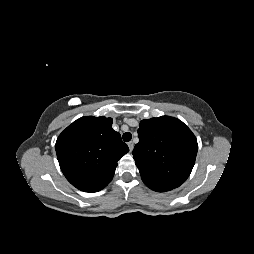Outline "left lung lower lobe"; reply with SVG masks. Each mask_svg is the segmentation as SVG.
<instances>
[{
	"instance_id": "1",
	"label": "left lung lower lobe",
	"mask_w": 254,
	"mask_h": 254,
	"mask_svg": "<svg viewBox=\"0 0 254 254\" xmlns=\"http://www.w3.org/2000/svg\"><path fill=\"white\" fill-rule=\"evenodd\" d=\"M150 189L157 191V192H164V191H169L172 190L176 187L169 186V185H163L159 183H154V182H144Z\"/></svg>"
}]
</instances>
